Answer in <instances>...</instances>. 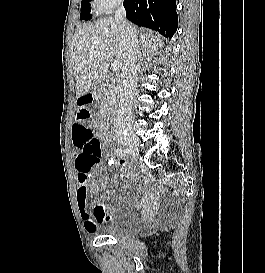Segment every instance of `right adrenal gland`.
<instances>
[{
    "label": "right adrenal gland",
    "mask_w": 265,
    "mask_h": 273,
    "mask_svg": "<svg viewBox=\"0 0 265 273\" xmlns=\"http://www.w3.org/2000/svg\"><path fill=\"white\" fill-rule=\"evenodd\" d=\"M148 53H149V51H147V54H146V53H144V51H143V56H146V55H148Z\"/></svg>",
    "instance_id": "2a0ac1e0"
}]
</instances>
